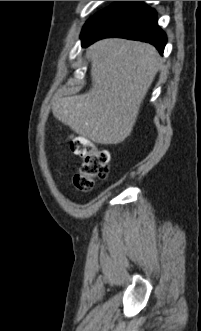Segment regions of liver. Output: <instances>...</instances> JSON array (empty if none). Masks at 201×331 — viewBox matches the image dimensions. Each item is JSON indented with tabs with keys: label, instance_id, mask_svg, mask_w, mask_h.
Masks as SVG:
<instances>
[{
	"label": "liver",
	"instance_id": "liver-1",
	"mask_svg": "<svg viewBox=\"0 0 201 331\" xmlns=\"http://www.w3.org/2000/svg\"><path fill=\"white\" fill-rule=\"evenodd\" d=\"M86 57L91 60V89L56 99L53 115L95 143H121L131 134L155 78L158 53L144 42L108 38L91 45Z\"/></svg>",
	"mask_w": 201,
	"mask_h": 331
}]
</instances>
